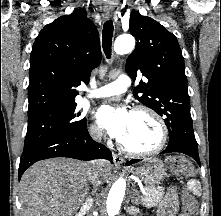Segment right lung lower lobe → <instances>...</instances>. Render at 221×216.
<instances>
[{
	"instance_id": "98d812e1",
	"label": "right lung lower lobe",
	"mask_w": 221,
	"mask_h": 216,
	"mask_svg": "<svg viewBox=\"0 0 221 216\" xmlns=\"http://www.w3.org/2000/svg\"><path fill=\"white\" fill-rule=\"evenodd\" d=\"M52 157H69L79 160L107 159L112 162L110 150L103 144L92 140L85 122L73 131L58 135L23 151L19 165V179L33 163Z\"/></svg>"
}]
</instances>
